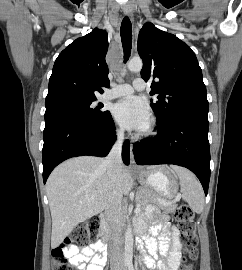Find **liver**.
<instances>
[{
    "label": "liver",
    "instance_id": "6515ba94",
    "mask_svg": "<svg viewBox=\"0 0 242 270\" xmlns=\"http://www.w3.org/2000/svg\"><path fill=\"white\" fill-rule=\"evenodd\" d=\"M103 158L80 156L57 166L46 183L52 217L51 247H58L81 222L108 204L111 183ZM153 167H148L152 169ZM123 194L133 187L130 171L122 168Z\"/></svg>",
    "mask_w": 242,
    "mask_h": 270
}]
</instances>
